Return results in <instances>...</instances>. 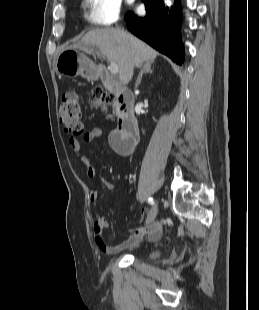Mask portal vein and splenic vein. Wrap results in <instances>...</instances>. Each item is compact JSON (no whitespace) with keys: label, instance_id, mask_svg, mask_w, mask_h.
<instances>
[{"label":"portal vein and splenic vein","instance_id":"18ae733b","mask_svg":"<svg viewBox=\"0 0 259 310\" xmlns=\"http://www.w3.org/2000/svg\"><path fill=\"white\" fill-rule=\"evenodd\" d=\"M108 68L113 75L117 74L119 71L118 65L114 62H111Z\"/></svg>","mask_w":259,"mask_h":310}]
</instances>
